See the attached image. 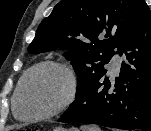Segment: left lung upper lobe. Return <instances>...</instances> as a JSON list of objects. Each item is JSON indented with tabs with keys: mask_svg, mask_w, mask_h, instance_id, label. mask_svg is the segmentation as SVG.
<instances>
[{
	"mask_svg": "<svg viewBox=\"0 0 151 131\" xmlns=\"http://www.w3.org/2000/svg\"><path fill=\"white\" fill-rule=\"evenodd\" d=\"M144 0H62L39 25L30 53L61 49L77 74L76 97L122 55ZM117 50V51H116Z\"/></svg>",
	"mask_w": 151,
	"mask_h": 131,
	"instance_id": "obj_1",
	"label": "left lung upper lobe"
}]
</instances>
